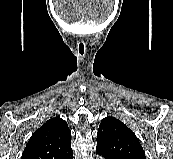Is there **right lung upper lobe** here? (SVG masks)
Wrapping results in <instances>:
<instances>
[{"instance_id":"1","label":"right lung upper lobe","mask_w":173,"mask_h":159,"mask_svg":"<svg viewBox=\"0 0 173 159\" xmlns=\"http://www.w3.org/2000/svg\"><path fill=\"white\" fill-rule=\"evenodd\" d=\"M72 152L70 129L63 119L55 117L34 132L22 159H65Z\"/></svg>"}]
</instances>
